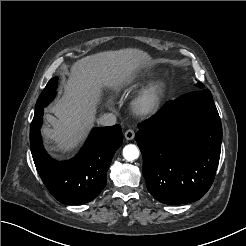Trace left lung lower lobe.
I'll use <instances>...</instances> for the list:
<instances>
[{"label":"left lung lower lobe","instance_id":"0a47b994","mask_svg":"<svg viewBox=\"0 0 246 246\" xmlns=\"http://www.w3.org/2000/svg\"><path fill=\"white\" fill-rule=\"evenodd\" d=\"M138 128L135 139L153 197L164 204L200 199L214 180L222 141L211 92L200 89L181 95Z\"/></svg>","mask_w":246,"mask_h":246}]
</instances>
